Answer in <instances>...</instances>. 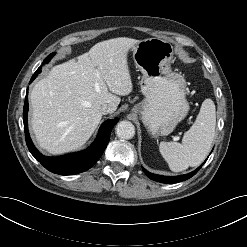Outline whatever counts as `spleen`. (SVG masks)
<instances>
[{
  "label": "spleen",
  "mask_w": 247,
  "mask_h": 247,
  "mask_svg": "<svg viewBox=\"0 0 247 247\" xmlns=\"http://www.w3.org/2000/svg\"><path fill=\"white\" fill-rule=\"evenodd\" d=\"M216 109L211 99L203 101L200 112L182 143L161 142L159 151L174 172L199 165L210 151L215 136Z\"/></svg>",
  "instance_id": "obj_1"
}]
</instances>
